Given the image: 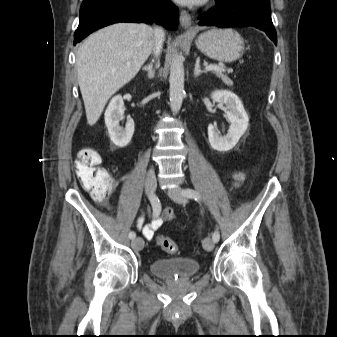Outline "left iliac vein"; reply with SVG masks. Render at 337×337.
<instances>
[{"label":"left iliac vein","mask_w":337,"mask_h":337,"mask_svg":"<svg viewBox=\"0 0 337 337\" xmlns=\"http://www.w3.org/2000/svg\"><path fill=\"white\" fill-rule=\"evenodd\" d=\"M168 196L177 203H186L187 199L183 195L181 188H172L167 191ZM214 241L210 237H206L203 240V247L206 251H212L214 249Z\"/></svg>","instance_id":"left-iliac-vein-1"}]
</instances>
